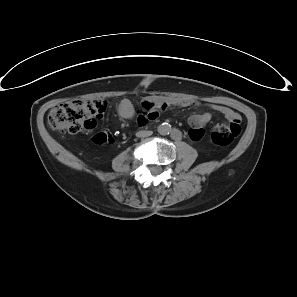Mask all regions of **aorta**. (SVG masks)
<instances>
[{"label":"aorta","instance_id":"1","mask_svg":"<svg viewBox=\"0 0 297 297\" xmlns=\"http://www.w3.org/2000/svg\"><path fill=\"white\" fill-rule=\"evenodd\" d=\"M157 131L161 135H167L171 131V125L168 123H162L157 127Z\"/></svg>","mask_w":297,"mask_h":297}]
</instances>
